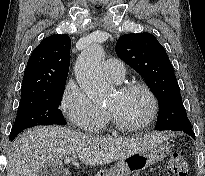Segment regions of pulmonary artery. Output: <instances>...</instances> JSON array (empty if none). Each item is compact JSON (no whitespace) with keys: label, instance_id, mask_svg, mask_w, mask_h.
I'll list each match as a JSON object with an SVG mask.
<instances>
[{"label":"pulmonary artery","instance_id":"pulmonary-artery-1","mask_svg":"<svg viewBox=\"0 0 205 176\" xmlns=\"http://www.w3.org/2000/svg\"><path fill=\"white\" fill-rule=\"evenodd\" d=\"M103 73L107 80L118 84L125 77V66L122 61L117 59H108L103 66Z\"/></svg>","mask_w":205,"mask_h":176}]
</instances>
